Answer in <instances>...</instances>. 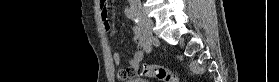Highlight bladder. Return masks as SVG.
Segmentation results:
<instances>
[{"label":"bladder","instance_id":"1","mask_svg":"<svg viewBox=\"0 0 279 82\" xmlns=\"http://www.w3.org/2000/svg\"><path fill=\"white\" fill-rule=\"evenodd\" d=\"M119 82H148L146 79L141 77H131L127 79H121Z\"/></svg>","mask_w":279,"mask_h":82}]
</instances>
